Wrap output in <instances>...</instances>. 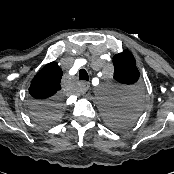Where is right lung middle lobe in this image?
<instances>
[{
  "instance_id": "right-lung-middle-lobe-1",
  "label": "right lung middle lobe",
  "mask_w": 174,
  "mask_h": 174,
  "mask_svg": "<svg viewBox=\"0 0 174 174\" xmlns=\"http://www.w3.org/2000/svg\"><path fill=\"white\" fill-rule=\"evenodd\" d=\"M63 109V99L59 96L47 101L33 100L30 105V115L36 122L50 125L61 118Z\"/></svg>"
}]
</instances>
